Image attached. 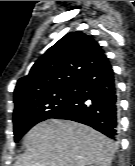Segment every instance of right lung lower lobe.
<instances>
[{"label": "right lung lower lobe", "instance_id": "obj_1", "mask_svg": "<svg viewBox=\"0 0 135 166\" xmlns=\"http://www.w3.org/2000/svg\"><path fill=\"white\" fill-rule=\"evenodd\" d=\"M51 118L80 122L115 139L118 135V99L109 61L79 79L72 103Z\"/></svg>", "mask_w": 135, "mask_h": 166}]
</instances>
